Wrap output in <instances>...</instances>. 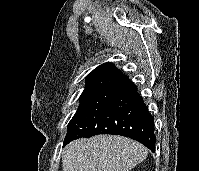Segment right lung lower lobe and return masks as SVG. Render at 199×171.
<instances>
[{"label": "right lung lower lobe", "instance_id": "98d812e1", "mask_svg": "<svg viewBox=\"0 0 199 171\" xmlns=\"http://www.w3.org/2000/svg\"><path fill=\"white\" fill-rule=\"evenodd\" d=\"M154 117L137 86L124 74L114 77L80 111L69 127L64 145L81 137L116 134L130 137L155 151Z\"/></svg>", "mask_w": 199, "mask_h": 171}]
</instances>
